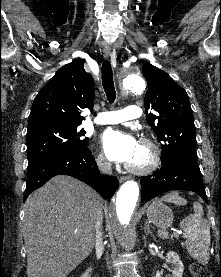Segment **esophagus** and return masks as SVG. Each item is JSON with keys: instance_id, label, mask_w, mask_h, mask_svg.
Wrapping results in <instances>:
<instances>
[{"instance_id": "1", "label": "esophagus", "mask_w": 221, "mask_h": 277, "mask_svg": "<svg viewBox=\"0 0 221 277\" xmlns=\"http://www.w3.org/2000/svg\"><path fill=\"white\" fill-rule=\"evenodd\" d=\"M103 55H104V58L108 59V58L111 56V50H110V49H105V50L103 51ZM128 179H129L128 176H120V177H119V181H120L121 183L124 182V181H126V180H128Z\"/></svg>"}]
</instances>
